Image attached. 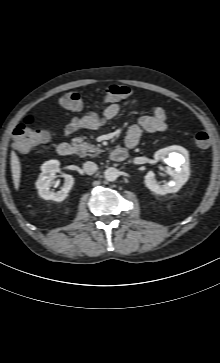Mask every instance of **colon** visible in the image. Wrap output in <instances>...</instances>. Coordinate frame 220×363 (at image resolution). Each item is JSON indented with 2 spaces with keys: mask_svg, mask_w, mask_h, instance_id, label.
Instances as JSON below:
<instances>
[{
  "mask_svg": "<svg viewBox=\"0 0 220 363\" xmlns=\"http://www.w3.org/2000/svg\"><path fill=\"white\" fill-rule=\"evenodd\" d=\"M134 91L121 84L108 86L103 93L104 102H117L129 98ZM83 103L81 93L77 91H69L65 93L61 99L62 107L69 110H78ZM50 138L49 131L35 127V118L31 115L25 117L13 131V147L18 152H27L34 147L45 143ZM195 143L205 148L210 144V136L205 131H198L194 135Z\"/></svg>",
  "mask_w": 220,
  "mask_h": 363,
  "instance_id": "5ec220e1",
  "label": "colon"
}]
</instances>
